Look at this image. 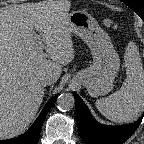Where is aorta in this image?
<instances>
[{
	"label": "aorta",
	"mask_w": 144,
	"mask_h": 144,
	"mask_svg": "<svg viewBox=\"0 0 144 144\" xmlns=\"http://www.w3.org/2000/svg\"><path fill=\"white\" fill-rule=\"evenodd\" d=\"M57 108L60 111L66 112L73 108L74 98L71 94H61L56 100Z\"/></svg>",
	"instance_id": "762f6f07"
}]
</instances>
